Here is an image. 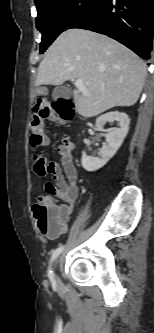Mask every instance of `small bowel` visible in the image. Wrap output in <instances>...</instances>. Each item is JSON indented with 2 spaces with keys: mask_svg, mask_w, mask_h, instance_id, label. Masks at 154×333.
<instances>
[{
  "mask_svg": "<svg viewBox=\"0 0 154 333\" xmlns=\"http://www.w3.org/2000/svg\"><path fill=\"white\" fill-rule=\"evenodd\" d=\"M74 146L67 139L58 147L61 156V165L57 162H48V173L51 175L53 183H46L45 190L51 195H55L65 201L62 205L69 216L75 206L79 195L77 184L78 174L74 164ZM65 231V227L61 232ZM56 236V235H55Z\"/></svg>",
  "mask_w": 154,
  "mask_h": 333,
  "instance_id": "obj_1",
  "label": "small bowel"
}]
</instances>
